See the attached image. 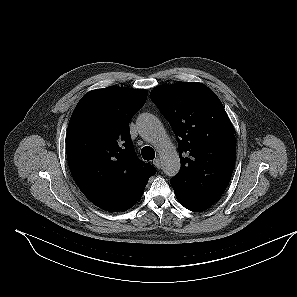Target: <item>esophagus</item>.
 <instances>
[{
    "mask_svg": "<svg viewBox=\"0 0 297 297\" xmlns=\"http://www.w3.org/2000/svg\"><path fill=\"white\" fill-rule=\"evenodd\" d=\"M153 164H154V166H155L157 169H160L161 166H162V162H161V160H160L159 158L154 159V160H153Z\"/></svg>",
    "mask_w": 297,
    "mask_h": 297,
    "instance_id": "obj_1",
    "label": "esophagus"
}]
</instances>
